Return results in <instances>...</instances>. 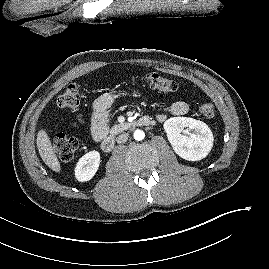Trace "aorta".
Returning <instances> with one entry per match:
<instances>
[{
    "label": "aorta",
    "mask_w": 269,
    "mask_h": 269,
    "mask_svg": "<svg viewBox=\"0 0 269 269\" xmlns=\"http://www.w3.org/2000/svg\"><path fill=\"white\" fill-rule=\"evenodd\" d=\"M145 137V133L142 130H135L134 139L137 141L143 140Z\"/></svg>",
    "instance_id": "aorta-1"
}]
</instances>
